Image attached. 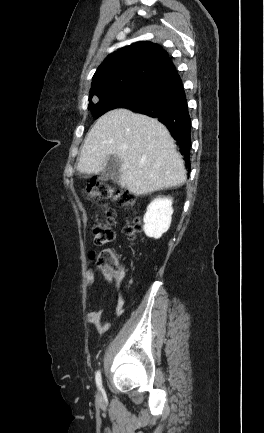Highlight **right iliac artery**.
<instances>
[{"mask_svg":"<svg viewBox=\"0 0 264 433\" xmlns=\"http://www.w3.org/2000/svg\"><path fill=\"white\" fill-rule=\"evenodd\" d=\"M95 380H96V384H97L99 390H102V379H101V373H100V371L96 372Z\"/></svg>","mask_w":264,"mask_h":433,"instance_id":"right-iliac-artery-1","label":"right iliac artery"}]
</instances>
